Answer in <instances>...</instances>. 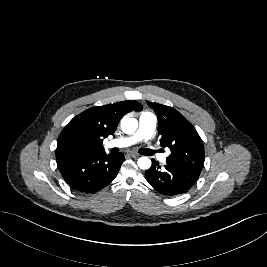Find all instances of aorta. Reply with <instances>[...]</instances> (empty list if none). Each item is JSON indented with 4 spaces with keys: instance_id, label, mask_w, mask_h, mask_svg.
Listing matches in <instances>:
<instances>
[{
    "instance_id": "1",
    "label": "aorta",
    "mask_w": 267,
    "mask_h": 267,
    "mask_svg": "<svg viewBox=\"0 0 267 267\" xmlns=\"http://www.w3.org/2000/svg\"><path fill=\"white\" fill-rule=\"evenodd\" d=\"M137 128V119L126 116L121 120V129L125 134H132ZM137 165L140 169L147 170L151 167V160L146 156L140 157L137 161Z\"/></svg>"
}]
</instances>
